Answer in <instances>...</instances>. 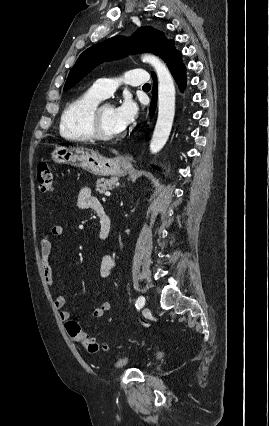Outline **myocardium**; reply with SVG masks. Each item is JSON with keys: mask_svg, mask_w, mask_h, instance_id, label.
Returning a JSON list of instances; mask_svg holds the SVG:
<instances>
[{"mask_svg": "<svg viewBox=\"0 0 269 426\" xmlns=\"http://www.w3.org/2000/svg\"><path fill=\"white\" fill-rule=\"evenodd\" d=\"M110 105L109 103H98L95 108L93 109L90 117V128L93 134V138L102 142H113L119 140L123 135H117V136H108L106 135L101 127L100 122V114L101 110L104 106Z\"/></svg>", "mask_w": 269, "mask_h": 426, "instance_id": "1", "label": "myocardium"}]
</instances>
